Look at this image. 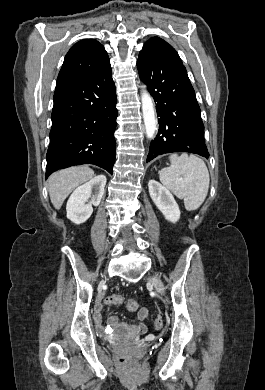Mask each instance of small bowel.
Here are the masks:
<instances>
[{"label":"small bowel","mask_w":265,"mask_h":390,"mask_svg":"<svg viewBox=\"0 0 265 390\" xmlns=\"http://www.w3.org/2000/svg\"><path fill=\"white\" fill-rule=\"evenodd\" d=\"M102 306L101 304L98 302L96 304V311H95V318H96V322L99 326H101V322H102ZM148 310L146 308H141L139 311H138V319L140 321V323L136 326H133L131 327V331L135 332V333H145L147 331V326L145 324V321L148 319ZM109 321L112 325H117L118 324V319L116 316H111L109 318Z\"/></svg>","instance_id":"small-bowel-1"}]
</instances>
